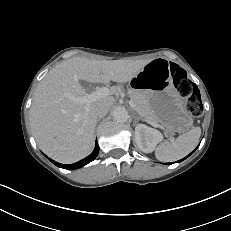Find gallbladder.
I'll use <instances>...</instances> for the list:
<instances>
[{
	"mask_svg": "<svg viewBox=\"0 0 231 231\" xmlns=\"http://www.w3.org/2000/svg\"><path fill=\"white\" fill-rule=\"evenodd\" d=\"M80 84L84 89H88L90 87V84L86 81H81Z\"/></svg>",
	"mask_w": 231,
	"mask_h": 231,
	"instance_id": "obj_1",
	"label": "gallbladder"
}]
</instances>
